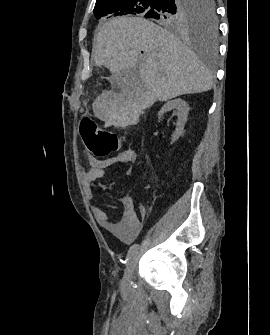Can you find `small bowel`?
Instances as JSON below:
<instances>
[{"mask_svg":"<svg viewBox=\"0 0 270 335\" xmlns=\"http://www.w3.org/2000/svg\"><path fill=\"white\" fill-rule=\"evenodd\" d=\"M136 159V152L133 149H126L117 155L107 159L87 157V168L83 169L82 178L89 189L92 184L104 176L105 170L112 165L120 163H131ZM132 175V169L127 172ZM104 188V186H103ZM125 210L120 222L110 220L107 213L98 206L92 207V212L97 221L112 235L124 243L132 242L141 232L143 222L138 218L134 200L131 194L127 193L119 198Z\"/></svg>","mask_w":270,"mask_h":335,"instance_id":"c3829d8e","label":"small bowel"}]
</instances>
